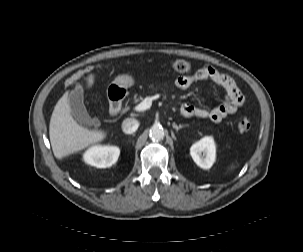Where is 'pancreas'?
<instances>
[{
    "label": "pancreas",
    "mask_w": 303,
    "mask_h": 252,
    "mask_svg": "<svg viewBox=\"0 0 303 252\" xmlns=\"http://www.w3.org/2000/svg\"><path fill=\"white\" fill-rule=\"evenodd\" d=\"M133 100H134V103H138L139 101H142L143 98L141 96L138 97V95H135Z\"/></svg>",
    "instance_id": "obj_1"
}]
</instances>
